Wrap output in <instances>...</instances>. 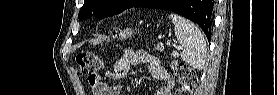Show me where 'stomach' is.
Returning a JSON list of instances; mask_svg holds the SVG:
<instances>
[{
    "label": "stomach",
    "mask_w": 277,
    "mask_h": 95,
    "mask_svg": "<svg viewBox=\"0 0 277 95\" xmlns=\"http://www.w3.org/2000/svg\"><path fill=\"white\" fill-rule=\"evenodd\" d=\"M133 34H134V32L132 30H123L120 33V39L123 40V39L129 38Z\"/></svg>",
    "instance_id": "1"
}]
</instances>
